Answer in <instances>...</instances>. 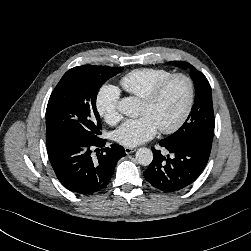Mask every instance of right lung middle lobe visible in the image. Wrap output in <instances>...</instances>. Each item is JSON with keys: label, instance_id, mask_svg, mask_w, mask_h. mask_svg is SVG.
<instances>
[{"label": "right lung middle lobe", "instance_id": "1", "mask_svg": "<svg viewBox=\"0 0 251 251\" xmlns=\"http://www.w3.org/2000/svg\"><path fill=\"white\" fill-rule=\"evenodd\" d=\"M121 67L84 65L68 70L52 92L46 109V143L78 135L91 139L101 135L96 109L97 93Z\"/></svg>", "mask_w": 251, "mask_h": 251}]
</instances>
